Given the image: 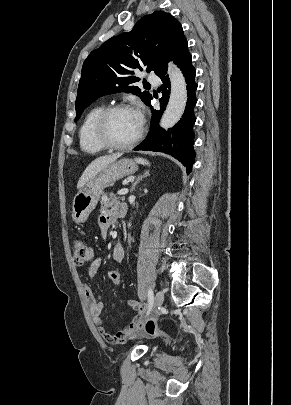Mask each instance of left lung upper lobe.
I'll return each mask as SVG.
<instances>
[{"label":"left lung upper lobe","mask_w":291,"mask_h":405,"mask_svg":"<svg viewBox=\"0 0 291 405\" xmlns=\"http://www.w3.org/2000/svg\"><path fill=\"white\" fill-rule=\"evenodd\" d=\"M185 38L181 24L170 14L155 11L142 17L130 32L112 37L92 51L82 67L76 98V118L100 96L132 92L147 105L152 99L134 83L140 81L134 70L149 73L163 67L178 44Z\"/></svg>","instance_id":"left-lung-upper-lobe-1"}]
</instances>
